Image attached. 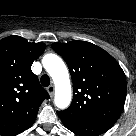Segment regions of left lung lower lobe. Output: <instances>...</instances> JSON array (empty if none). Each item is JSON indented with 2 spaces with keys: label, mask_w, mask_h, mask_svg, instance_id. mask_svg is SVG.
<instances>
[{
  "label": "left lung lower lobe",
  "mask_w": 136,
  "mask_h": 136,
  "mask_svg": "<svg viewBox=\"0 0 136 136\" xmlns=\"http://www.w3.org/2000/svg\"><path fill=\"white\" fill-rule=\"evenodd\" d=\"M62 122L67 129L80 136H98L105 133L113 125V123L109 122L78 123L63 120Z\"/></svg>",
  "instance_id": "1"
}]
</instances>
